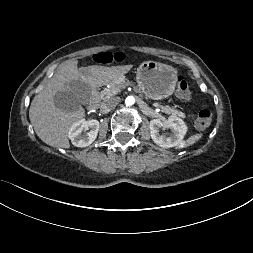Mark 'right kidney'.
Wrapping results in <instances>:
<instances>
[{
  "instance_id": "right-kidney-1",
  "label": "right kidney",
  "mask_w": 253,
  "mask_h": 253,
  "mask_svg": "<svg viewBox=\"0 0 253 253\" xmlns=\"http://www.w3.org/2000/svg\"><path fill=\"white\" fill-rule=\"evenodd\" d=\"M99 128L100 123L98 120L92 119L87 121L81 119L70 127L68 137L74 146L84 148L95 141ZM89 129L90 131H88Z\"/></svg>"
}]
</instances>
